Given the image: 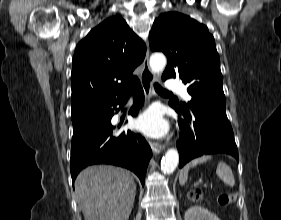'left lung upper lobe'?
Masks as SVG:
<instances>
[{"label":"left lung upper lobe","mask_w":281,"mask_h":220,"mask_svg":"<svg viewBox=\"0 0 281 220\" xmlns=\"http://www.w3.org/2000/svg\"><path fill=\"white\" fill-rule=\"evenodd\" d=\"M152 51L168 58L163 80L178 76L192 96L185 110L212 104L225 107L220 59L208 28L178 12L161 14L149 34Z\"/></svg>","instance_id":"1"}]
</instances>
